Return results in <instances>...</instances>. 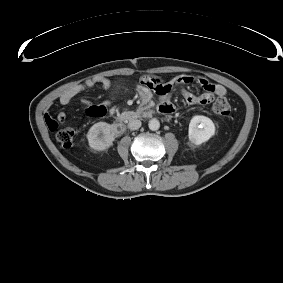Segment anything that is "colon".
<instances>
[{
	"label": "colon",
	"instance_id": "5ec220e1",
	"mask_svg": "<svg viewBox=\"0 0 283 283\" xmlns=\"http://www.w3.org/2000/svg\"><path fill=\"white\" fill-rule=\"evenodd\" d=\"M211 110L214 114L219 116H228L231 111L229 102L220 97L212 104ZM57 142L63 147H70L74 141V130L71 128H63L56 133Z\"/></svg>",
	"mask_w": 283,
	"mask_h": 283
}]
</instances>
